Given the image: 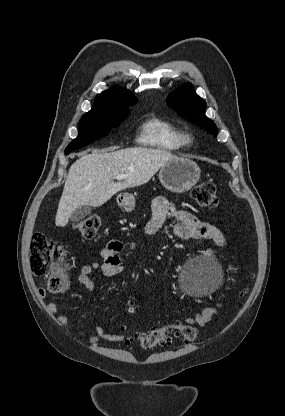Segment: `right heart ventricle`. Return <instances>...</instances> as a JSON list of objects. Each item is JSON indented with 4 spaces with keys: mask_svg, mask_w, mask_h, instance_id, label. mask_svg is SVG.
Here are the masks:
<instances>
[{
    "mask_svg": "<svg viewBox=\"0 0 285 416\" xmlns=\"http://www.w3.org/2000/svg\"><path fill=\"white\" fill-rule=\"evenodd\" d=\"M182 131L172 121L152 117L142 127L139 142L160 151H178L182 149Z\"/></svg>",
    "mask_w": 285,
    "mask_h": 416,
    "instance_id": "right-heart-ventricle-1",
    "label": "right heart ventricle"
}]
</instances>
